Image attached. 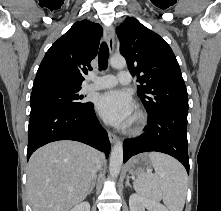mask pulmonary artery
Instances as JSON below:
<instances>
[{"mask_svg": "<svg viewBox=\"0 0 221 211\" xmlns=\"http://www.w3.org/2000/svg\"><path fill=\"white\" fill-rule=\"evenodd\" d=\"M89 83L83 86L85 91L101 90L114 87L120 83L122 85L130 84L132 76L129 71H120L117 76L104 75L100 77L88 76Z\"/></svg>", "mask_w": 221, "mask_h": 211, "instance_id": "e3ab8cb5", "label": "pulmonary artery"}]
</instances>
